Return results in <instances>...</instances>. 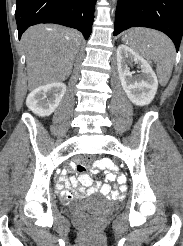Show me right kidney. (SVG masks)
<instances>
[{
  "label": "right kidney",
  "mask_w": 183,
  "mask_h": 246,
  "mask_svg": "<svg viewBox=\"0 0 183 246\" xmlns=\"http://www.w3.org/2000/svg\"><path fill=\"white\" fill-rule=\"evenodd\" d=\"M66 92V85L55 82L34 89L26 99L27 107L36 115L46 117L51 115Z\"/></svg>",
  "instance_id": "obj_1"
}]
</instances>
